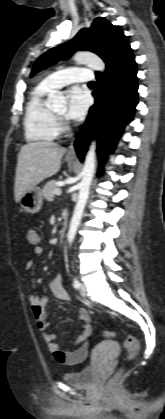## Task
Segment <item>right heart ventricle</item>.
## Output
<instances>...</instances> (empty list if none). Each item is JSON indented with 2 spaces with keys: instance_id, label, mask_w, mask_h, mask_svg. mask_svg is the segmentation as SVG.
<instances>
[{
  "instance_id": "e07e8e85",
  "label": "right heart ventricle",
  "mask_w": 165,
  "mask_h": 419,
  "mask_svg": "<svg viewBox=\"0 0 165 419\" xmlns=\"http://www.w3.org/2000/svg\"><path fill=\"white\" fill-rule=\"evenodd\" d=\"M52 90L41 82L30 93L24 117L25 135L29 141H53L59 135L56 116L47 104V96Z\"/></svg>"
}]
</instances>
